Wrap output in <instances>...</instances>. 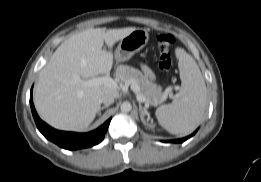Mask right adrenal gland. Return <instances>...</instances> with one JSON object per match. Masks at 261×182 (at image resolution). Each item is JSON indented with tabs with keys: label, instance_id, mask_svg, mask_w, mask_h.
<instances>
[{
	"label": "right adrenal gland",
	"instance_id": "right-adrenal-gland-1",
	"mask_svg": "<svg viewBox=\"0 0 261 182\" xmlns=\"http://www.w3.org/2000/svg\"><path fill=\"white\" fill-rule=\"evenodd\" d=\"M108 105H104L100 108V110L98 111V115L100 116L101 115V111L104 110L105 108H107Z\"/></svg>",
	"mask_w": 261,
	"mask_h": 182
}]
</instances>
